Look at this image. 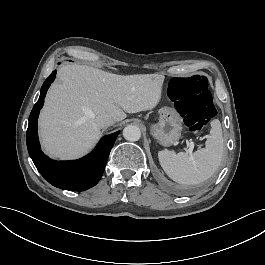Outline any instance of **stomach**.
Returning a JSON list of instances; mask_svg holds the SVG:
<instances>
[{
    "instance_id": "obj_1",
    "label": "stomach",
    "mask_w": 265,
    "mask_h": 265,
    "mask_svg": "<svg viewBox=\"0 0 265 265\" xmlns=\"http://www.w3.org/2000/svg\"><path fill=\"white\" fill-rule=\"evenodd\" d=\"M182 131L181 117L172 107L159 110V122L151 127V135L162 146H171L179 140Z\"/></svg>"
}]
</instances>
